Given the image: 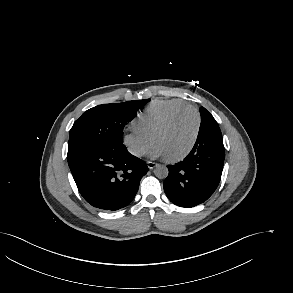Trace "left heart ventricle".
Masks as SVG:
<instances>
[{
    "label": "left heart ventricle",
    "mask_w": 293,
    "mask_h": 293,
    "mask_svg": "<svg viewBox=\"0 0 293 293\" xmlns=\"http://www.w3.org/2000/svg\"><path fill=\"white\" fill-rule=\"evenodd\" d=\"M196 129V117L193 112L181 114L172 124L159 134L154 144L160 146L165 157H175L190 145Z\"/></svg>",
    "instance_id": "1"
}]
</instances>
